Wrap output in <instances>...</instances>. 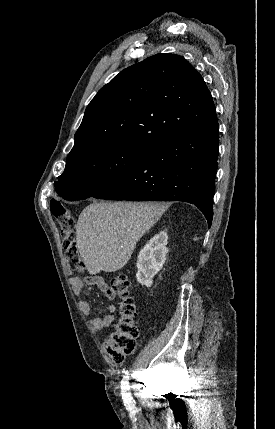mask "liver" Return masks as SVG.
<instances>
[{
	"label": "liver",
	"mask_w": 275,
	"mask_h": 429,
	"mask_svg": "<svg viewBox=\"0 0 275 429\" xmlns=\"http://www.w3.org/2000/svg\"><path fill=\"white\" fill-rule=\"evenodd\" d=\"M165 209L158 202L103 201L84 208L76 225V242L89 274L122 269Z\"/></svg>",
	"instance_id": "6515ba94"
}]
</instances>
